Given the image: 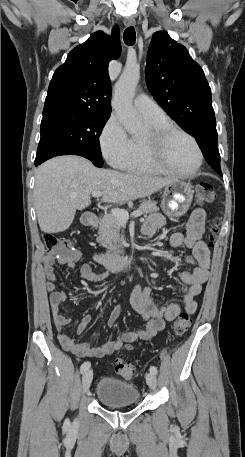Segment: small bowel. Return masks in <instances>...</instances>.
<instances>
[{"mask_svg":"<svg viewBox=\"0 0 245 457\" xmlns=\"http://www.w3.org/2000/svg\"><path fill=\"white\" fill-rule=\"evenodd\" d=\"M206 212L202 208H196L185 224V232L174 233L170 238V244L174 248L185 246L192 249V253L186 260L194 265L192 270L179 273L182 287L179 293L182 295V303L173 302L168 305H160L152 296V289L140 284L136 285L131 293L130 302L133 309L146 322L144 329H133L123 333L116 340L106 342L99 347H91L88 342H77L76 339L65 333V328L71 323V319L61 312V305L67 298V294L57 288V276L54 264L66 265L74 268L75 256H52L42 257L43 271L46 277L45 288L50 294V306L55 328L61 345L69 352L80 357L99 358L111 355L120 350L125 344L136 340L148 341L156 334L164 330L167 322H172L180 314L183 307L187 314H193L197 310L196 297L202 290V285L209 277L210 252L206 243L202 240L205 230ZM165 225V218L159 213L151 214L143 225V234L150 238ZM81 278L90 282H100L108 277V272H95L88 264L80 266ZM121 309L118 305L113 306L108 324L112 327L120 316ZM91 321L89 315H84L76 326V334L85 331Z\"/></svg>","mask_w":245,"mask_h":457,"instance_id":"1","label":"small bowel"}]
</instances>
